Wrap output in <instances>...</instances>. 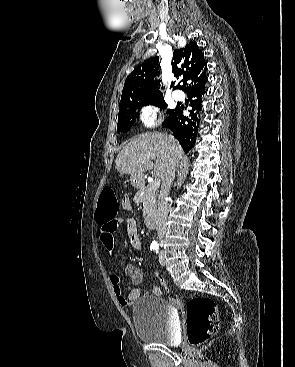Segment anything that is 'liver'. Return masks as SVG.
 Returning <instances> with one entry per match:
<instances>
[{"label":"liver","mask_w":295,"mask_h":367,"mask_svg":"<svg viewBox=\"0 0 295 367\" xmlns=\"http://www.w3.org/2000/svg\"><path fill=\"white\" fill-rule=\"evenodd\" d=\"M183 150L172 137L160 132L140 134L118 153L115 164L120 174L143 176L154 168V175L162 181L174 165L179 164ZM151 159H156L155 164Z\"/></svg>","instance_id":"1"}]
</instances>
